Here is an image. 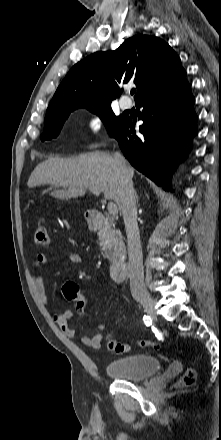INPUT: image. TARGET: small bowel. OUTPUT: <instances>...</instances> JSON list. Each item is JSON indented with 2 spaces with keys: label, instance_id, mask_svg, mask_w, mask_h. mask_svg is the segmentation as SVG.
<instances>
[{
  "label": "small bowel",
  "instance_id": "small-bowel-1",
  "mask_svg": "<svg viewBox=\"0 0 221 440\" xmlns=\"http://www.w3.org/2000/svg\"><path fill=\"white\" fill-rule=\"evenodd\" d=\"M65 260L71 264H80L82 262V257L79 254L71 253L65 257ZM48 264V257L45 253H38L31 263V277L33 285L37 295L40 299L48 305V300L45 293V285L42 276V270ZM73 316L71 310H66L64 312H53L52 319L58 325L60 330L68 337L75 338L77 336V331L75 328L70 326L69 319ZM103 328V326H101ZM80 341L83 345L91 348H98L102 341L101 334H96L94 336L83 335L80 337Z\"/></svg>",
  "mask_w": 221,
  "mask_h": 440
}]
</instances>
